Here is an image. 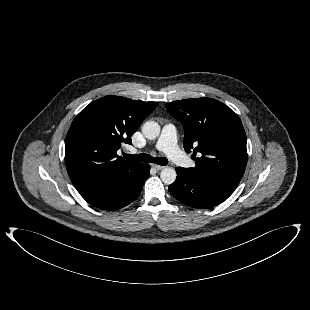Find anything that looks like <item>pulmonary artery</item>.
I'll use <instances>...</instances> for the list:
<instances>
[{"mask_svg":"<svg viewBox=\"0 0 310 310\" xmlns=\"http://www.w3.org/2000/svg\"><path fill=\"white\" fill-rule=\"evenodd\" d=\"M156 149L165 153L174 163L183 167L192 165V161L178 148L177 131L171 123L163 126Z\"/></svg>","mask_w":310,"mask_h":310,"instance_id":"obj_1","label":"pulmonary artery"}]
</instances>
